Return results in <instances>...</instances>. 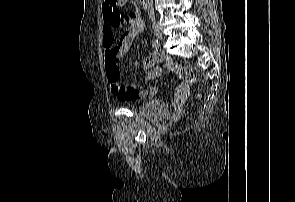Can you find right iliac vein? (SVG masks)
I'll return each mask as SVG.
<instances>
[{"mask_svg":"<svg viewBox=\"0 0 295 202\" xmlns=\"http://www.w3.org/2000/svg\"><path fill=\"white\" fill-rule=\"evenodd\" d=\"M153 31H154L155 36L158 39L162 38V36H163L162 29L156 23L153 24Z\"/></svg>","mask_w":295,"mask_h":202,"instance_id":"63e3f726","label":"right iliac vein"}]
</instances>
